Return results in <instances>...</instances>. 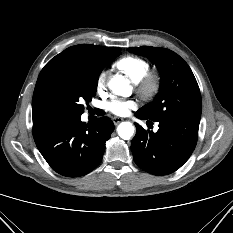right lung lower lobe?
I'll use <instances>...</instances> for the list:
<instances>
[{"mask_svg":"<svg viewBox=\"0 0 233 233\" xmlns=\"http://www.w3.org/2000/svg\"><path fill=\"white\" fill-rule=\"evenodd\" d=\"M113 130L108 117L88 126L80 116H62L34 126L32 132L37 148L54 171L79 177L100 164Z\"/></svg>","mask_w":233,"mask_h":233,"instance_id":"right-lung-lower-lobe-1","label":"right lung lower lobe"}]
</instances>
